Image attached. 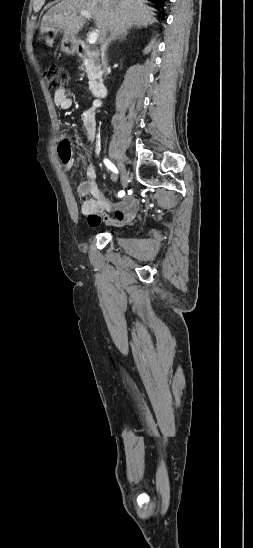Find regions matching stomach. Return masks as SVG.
Segmentation results:
<instances>
[{"label": "stomach", "mask_w": 253, "mask_h": 548, "mask_svg": "<svg viewBox=\"0 0 253 548\" xmlns=\"http://www.w3.org/2000/svg\"><path fill=\"white\" fill-rule=\"evenodd\" d=\"M61 31L55 28L47 30L42 35V41L47 47H52L54 40L58 36V34ZM77 45L75 42L74 37L67 36L66 34L63 35L62 41H61V47L60 50L66 54L72 55L76 52Z\"/></svg>", "instance_id": "1"}]
</instances>
